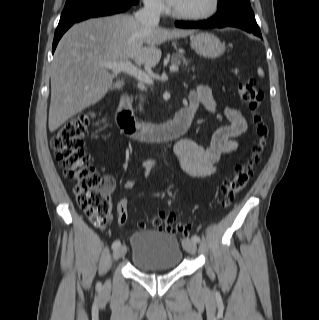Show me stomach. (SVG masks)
I'll return each mask as SVG.
<instances>
[{"instance_id":"stomach-1","label":"stomach","mask_w":319,"mask_h":320,"mask_svg":"<svg viewBox=\"0 0 319 320\" xmlns=\"http://www.w3.org/2000/svg\"><path fill=\"white\" fill-rule=\"evenodd\" d=\"M190 45L197 54L211 59L220 57L225 51L221 41L209 32L193 35L190 39Z\"/></svg>"}]
</instances>
